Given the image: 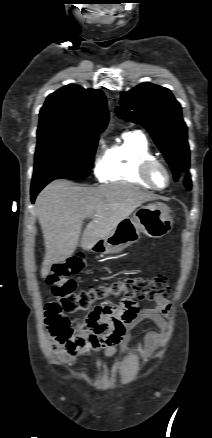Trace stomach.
<instances>
[{
  "label": "stomach",
  "instance_id": "obj_1",
  "mask_svg": "<svg viewBox=\"0 0 212 438\" xmlns=\"http://www.w3.org/2000/svg\"><path fill=\"white\" fill-rule=\"evenodd\" d=\"M170 208L162 202L141 206L132 216L124 219L102 241L103 252L119 253L136 242L140 233L150 238H162L173 228V217Z\"/></svg>",
  "mask_w": 212,
  "mask_h": 438
}]
</instances>
